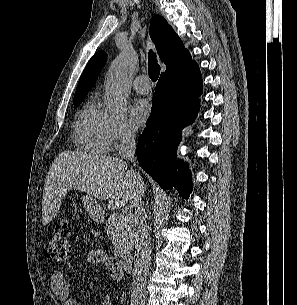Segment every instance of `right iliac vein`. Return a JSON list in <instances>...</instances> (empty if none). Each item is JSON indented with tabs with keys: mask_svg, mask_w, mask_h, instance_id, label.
I'll return each instance as SVG.
<instances>
[{
	"mask_svg": "<svg viewBox=\"0 0 297 305\" xmlns=\"http://www.w3.org/2000/svg\"><path fill=\"white\" fill-rule=\"evenodd\" d=\"M132 305H144V304H142V303H137V304H132Z\"/></svg>",
	"mask_w": 297,
	"mask_h": 305,
	"instance_id": "63e3f726",
	"label": "right iliac vein"
}]
</instances>
